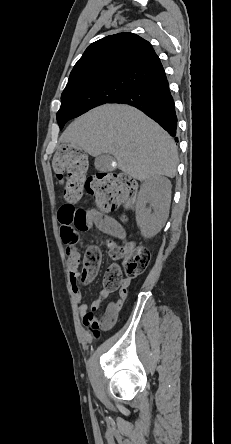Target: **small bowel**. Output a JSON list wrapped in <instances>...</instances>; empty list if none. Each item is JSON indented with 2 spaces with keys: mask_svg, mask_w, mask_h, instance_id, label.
Wrapping results in <instances>:
<instances>
[{
  "mask_svg": "<svg viewBox=\"0 0 231 444\" xmlns=\"http://www.w3.org/2000/svg\"><path fill=\"white\" fill-rule=\"evenodd\" d=\"M67 204L61 206L59 209L58 217L61 224L60 232L61 238L64 243L70 249V258H69V270H70V280L73 287L74 292V302L78 309V314L82 320L83 325L88 329V331L96 336L101 329H109L111 328L117 318L118 314L123 308V305L128 297V287L130 285V279H125L122 282V287L119 292V298L111 301L106 308L101 311L100 314H96L101 306L102 301L107 299L108 292L102 290L98 298L92 301L90 304L86 302H82V295L80 291V283H79V255L77 250L74 248V245L77 241V232L74 228L70 226H66L62 222L63 210ZM95 227L116 238L122 239L124 237V230L121 225L112 217L107 215H101Z\"/></svg>",
  "mask_w": 231,
  "mask_h": 444,
  "instance_id": "c3829d8e",
  "label": "small bowel"
}]
</instances>
